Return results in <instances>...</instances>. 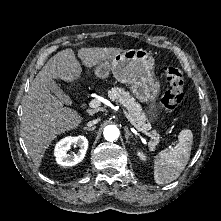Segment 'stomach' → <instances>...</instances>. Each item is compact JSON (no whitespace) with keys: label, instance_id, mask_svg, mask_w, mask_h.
I'll list each match as a JSON object with an SVG mask.
<instances>
[{"label":"stomach","instance_id":"1","mask_svg":"<svg viewBox=\"0 0 221 221\" xmlns=\"http://www.w3.org/2000/svg\"><path fill=\"white\" fill-rule=\"evenodd\" d=\"M155 60L144 49H129L100 62L94 69L96 77L105 79L110 72L120 83L128 84L131 92L143 103L151 102L149 115L157 116L156 97L160 83L154 74Z\"/></svg>","mask_w":221,"mask_h":221}]
</instances>
